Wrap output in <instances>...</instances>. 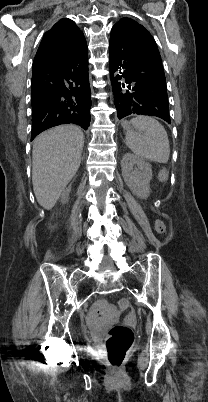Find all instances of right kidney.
I'll list each match as a JSON object with an SVG mask.
<instances>
[{
	"label": "right kidney",
	"instance_id": "1",
	"mask_svg": "<svg viewBox=\"0 0 208 402\" xmlns=\"http://www.w3.org/2000/svg\"><path fill=\"white\" fill-rule=\"evenodd\" d=\"M70 194V188H66V190H64L62 196H61V202L62 204H66V202H68V196Z\"/></svg>",
	"mask_w": 208,
	"mask_h": 402
}]
</instances>
